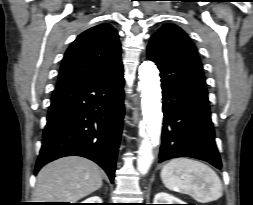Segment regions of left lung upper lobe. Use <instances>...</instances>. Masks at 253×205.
Masks as SVG:
<instances>
[{"label":"left lung upper lobe","mask_w":253,"mask_h":205,"mask_svg":"<svg viewBox=\"0 0 253 205\" xmlns=\"http://www.w3.org/2000/svg\"><path fill=\"white\" fill-rule=\"evenodd\" d=\"M152 37H159L171 44L190 51L198 57L195 45L191 42L186 33L178 26L165 24Z\"/></svg>","instance_id":"1"}]
</instances>
